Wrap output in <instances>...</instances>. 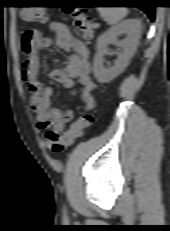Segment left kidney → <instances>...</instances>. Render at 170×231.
Masks as SVG:
<instances>
[{"mask_svg":"<svg viewBox=\"0 0 170 231\" xmlns=\"http://www.w3.org/2000/svg\"><path fill=\"white\" fill-rule=\"evenodd\" d=\"M141 21L138 19L125 20L100 35L97 39V52L94 57V76L99 83H108L117 77L127 67L133 56L141 35ZM121 34H126L124 40L118 41ZM114 43L123 50L118 53V58L113 66H104V55L108 45Z\"/></svg>","mask_w":170,"mask_h":231,"instance_id":"1","label":"left kidney"}]
</instances>
